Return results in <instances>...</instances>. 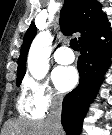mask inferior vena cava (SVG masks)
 I'll return each mask as SVG.
<instances>
[{"mask_svg":"<svg viewBox=\"0 0 112 135\" xmlns=\"http://www.w3.org/2000/svg\"><path fill=\"white\" fill-rule=\"evenodd\" d=\"M61 110H62V101L60 98L56 97L52 100L50 114L48 115L47 118V122L52 127L53 135L62 134Z\"/></svg>","mask_w":112,"mask_h":135,"instance_id":"inferior-vena-cava-1","label":"inferior vena cava"}]
</instances>
